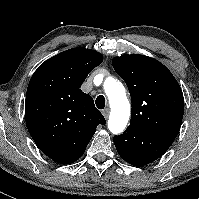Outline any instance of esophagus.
Here are the masks:
<instances>
[{
    "label": "esophagus",
    "instance_id": "esophagus-1",
    "mask_svg": "<svg viewBox=\"0 0 199 199\" xmlns=\"http://www.w3.org/2000/svg\"><path fill=\"white\" fill-rule=\"evenodd\" d=\"M109 113H110V110L108 108H106L102 111V114L105 117V119H107L109 117Z\"/></svg>",
    "mask_w": 199,
    "mask_h": 199
}]
</instances>
